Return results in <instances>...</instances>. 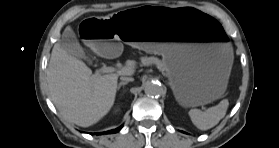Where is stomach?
I'll list each match as a JSON object with an SVG mask.
<instances>
[{
	"instance_id": "0dacf381",
	"label": "stomach",
	"mask_w": 279,
	"mask_h": 148,
	"mask_svg": "<svg viewBox=\"0 0 279 148\" xmlns=\"http://www.w3.org/2000/svg\"><path fill=\"white\" fill-rule=\"evenodd\" d=\"M86 48L116 57L123 44L161 54L176 100L185 107L209 103L225 92L232 64L227 30L195 9L126 10L101 18L89 16L78 25Z\"/></svg>"
}]
</instances>
